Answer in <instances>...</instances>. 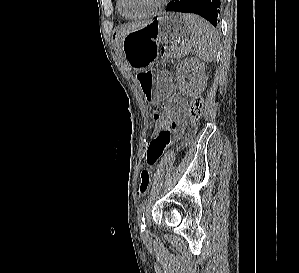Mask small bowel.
Segmentation results:
<instances>
[{
	"mask_svg": "<svg viewBox=\"0 0 299 273\" xmlns=\"http://www.w3.org/2000/svg\"><path fill=\"white\" fill-rule=\"evenodd\" d=\"M170 108L173 119L169 126L158 134H154L148 144L145 145V157L149 166L154 165L162 156L172 137H179L187 125L185 101L178 95H172Z\"/></svg>",
	"mask_w": 299,
	"mask_h": 273,
	"instance_id": "c3829d8e",
	"label": "small bowel"
}]
</instances>
